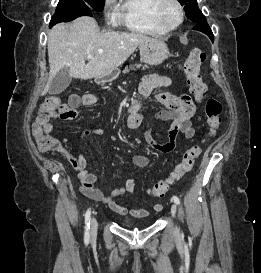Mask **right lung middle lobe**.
I'll list each match as a JSON object with an SVG mask.
<instances>
[{
    "instance_id": "right-lung-middle-lobe-1",
    "label": "right lung middle lobe",
    "mask_w": 261,
    "mask_h": 273,
    "mask_svg": "<svg viewBox=\"0 0 261 273\" xmlns=\"http://www.w3.org/2000/svg\"><path fill=\"white\" fill-rule=\"evenodd\" d=\"M104 0H60L50 27L59 22H68L80 16H92L91 11H101Z\"/></svg>"
}]
</instances>
